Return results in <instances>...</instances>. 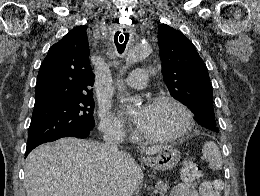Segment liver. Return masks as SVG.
Returning a JSON list of instances; mask_svg holds the SVG:
<instances>
[{"label": "liver", "instance_id": "obj_1", "mask_svg": "<svg viewBox=\"0 0 260 196\" xmlns=\"http://www.w3.org/2000/svg\"><path fill=\"white\" fill-rule=\"evenodd\" d=\"M162 146L142 148L154 156ZM26 196H133L144 174L128 152L109 154L103 144L61 138L42 144L26 158Z\"/></svg>", "mask_w": 260, "mask_h": 196}]
</instances>
